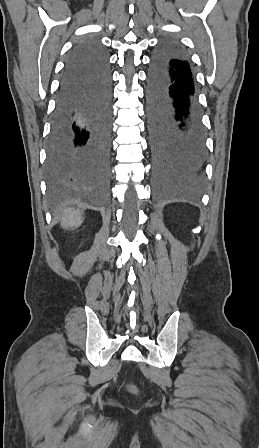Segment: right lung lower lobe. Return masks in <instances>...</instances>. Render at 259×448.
Listing matches in <instances>:
<instances>
[{"label": "right lung lower lobe", "instance_id": "right-lung-lower-lobe-1", "mask_svg": "<svg viewBox=\"0 0 259 448\" xmlns=\"http://www.w3.org/2000/svg\"><path fill=\"white\" fill-rule=\"evenodd\" d=\"M112 82L108 55L95 38L79 41L61 77L47 142L54 186L106 184L111 162Z\"/></svg>", "mask_w": 259, "mask_h": 448}]
</instances>
